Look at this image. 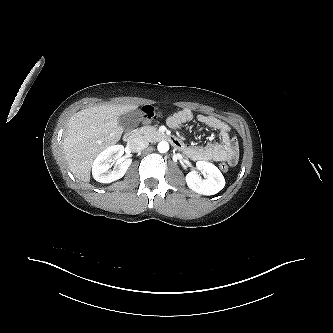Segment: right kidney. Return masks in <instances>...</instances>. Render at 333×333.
<instances>
[{"mask_svg": "<svg viewBox=\"0 0 333 333\" xmlns=\"http://www.w3.org/2000/svg\"><path fill=\"white\" fill-rule=\"evenodd\" d=\"M124 146L114 145L102 151L94 160L92 174L100 183H111L122 178L132 163L131 159H124ZM115 168L111 170V167Z\"/></svg>", "mask_w": 333, "mask_h": 333, "instance_id": "ca27d5eb", "label": "right kidney"}]
</instances>
